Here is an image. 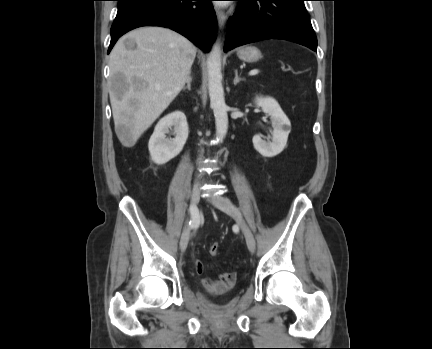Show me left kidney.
I'll return each instance as SVG.
<instances>
[{
    "label": "left kidney",
    "mask_w": 432,
    "mask_h": 349,
    "mask_svg": "<svg viewBox=\"0 0 432 349\" xmlns=\"http://www.w3.org/2000/svg\"><path fill=\"white\" fill-rule=\"evenodd\" d=\"M255 104L270 116L273 132L271 141L262 140L260 136L255 135L252 139L254 148L264 157H274L284 150L291 131V123L274 98L256 97Z\"/></svg>",
    "instance_id": "obj_1"
}]
</instances>
